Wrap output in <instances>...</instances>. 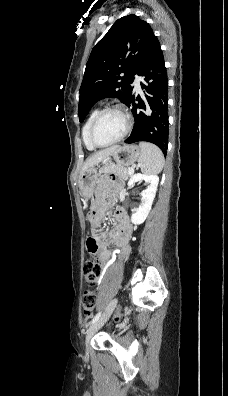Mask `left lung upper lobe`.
I'll use <instances>...</instances> for the list:
<instances>
[{
  "label": "left lung upper lobe",
  "instance_id": "obj_1",
  "mask_svg": "<svg viewBox=\"0 0 228 396\" xmlns=\"http://www.w3.org/2000/svg\"><path fill=\"white\" fill-rule=\"evenodd\" d=\"M155 39L150 25L133 14L112 25L92 49L86 64L79 91L80 121L105 97L128 103L133 92L130 84L143 68Z\"/></svg>",
  "mask_w": 228,
  "mask_h": 396
}]
</instances>
